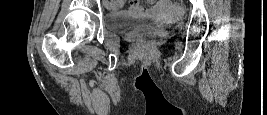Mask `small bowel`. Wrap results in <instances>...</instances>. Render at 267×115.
I'll return each instance as SVG.
<instances>
[{
    "mask_svg": "<svg viewBox=\"0 0 267 115\" xmlns=\"http://www.w3.org/2000/svg\"><path fill=\"white\" fill-rule=\"evenodd\" d=\"M112 5L120 6V4L116 2L112 3ZM125 11L136 15H164L168 13H177L180 11V7L169 0H160L157 2L150 1L149 6H144L139 2H132Z\"/></svg>",
    "mask_w": 267,
    "mask_h": 115,
    "instance_id": "obj_1",
    "label": "small bowel"
}]
</instances>
